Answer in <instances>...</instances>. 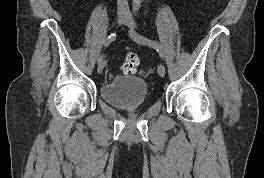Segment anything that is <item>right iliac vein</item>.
<instances>
[{"mask_svg": "<svg viewBox=\"0 0 264 178\" xmlns=\"http://www.w3.org/2000/svg\"><path fill=\"white\" fill-rule=\"evenodd\" d=\"M126 19H127V15L126 14L118 13V15H117L118 23H122ZM104 66H105V62L102 61L101 63H99L98 68H97L98 73H101L103 71Z\"/></svg>", "mask_w": 264, "mask_h": 178, "instance_id": "right-iliac-vein-1", "label": "right iliac vein"}]
</instances>
